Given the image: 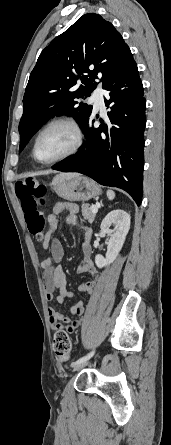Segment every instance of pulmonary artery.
Instances as JSON below:
<instances>
[{"instance_id":"pulmonary-artery-1","label":"pulmonary artery","mask_w":171,"mask_h":445,"mask_svg":"<svg viewBox=\"0 0 171 445\" xmlns=\"http://www.w3.org/2000/svg\"><path fill=\"white\" fill-rule=\"evenodd\" d=\"M103 91L102 90H96L92 97L91 101L94 103L96 108L103 109L104 108V99H103Z\"/></svg>"}]
</instances>
